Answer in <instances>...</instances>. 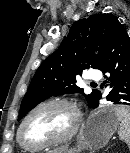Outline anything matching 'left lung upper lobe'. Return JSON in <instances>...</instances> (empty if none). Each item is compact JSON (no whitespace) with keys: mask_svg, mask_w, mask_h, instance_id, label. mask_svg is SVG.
Here are the masks:
<instances>
[{"mask_svg":"<svg viewBox=\"0 0 130 153\" xmlns=\"http://www.w3.org/2000/svg\"><path fill=\"white\" fill-rule=\"evenodd\" d=\"M123 30L120 22L108 14H94L76 21L59 48L37 69L22 100L18 120L49 97L82 93L76 76L84 69H100L111 43ZM94 51L99 54L94 55ZM99 95L98 90H93L85 98L92 106Z\"/></svg>","mask_w":130,"mask_h":153,"instance_id":"obj_1","label":"left lung upper lobe"}]
</instances>
